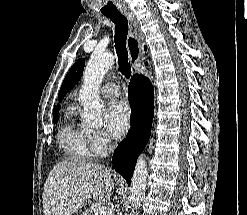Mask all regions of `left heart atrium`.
<instances>
[{
    "mask_svg": "<svg viewBox=\"0 0 247 215\" xmlns=\"http://www.w3.org/2000/svg\"><path fill=\"white\" fill-rule=\"evenodd\" d=\"M105 126L114 137L126 133L129 127L130 111L126 102L112 101L104 116Z\"/></svg>",
    "mask_w": 247,
    "mask_h": 215,
    "instance_id": "1",
    "label": "left heart atrium"
}]
</instances>
